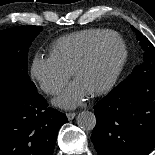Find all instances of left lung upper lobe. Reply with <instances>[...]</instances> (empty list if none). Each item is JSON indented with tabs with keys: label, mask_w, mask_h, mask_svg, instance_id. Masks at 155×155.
Masks as SVG:
<instances>
[{
	"label": "left lung upper lobe",
	"mask_w": 155,
	"mask_h": 155,
	"mask_svg": "<svg viewBox=\"0 0 155 155\" xmlns=\"http://www.w3.org/2000/svg\"><path fill=\"white\" fill-rule=\"evenodd\" d=\"M136 33L137 40L143 49V62L136 66L127 79L143 74L147 71L155 69V48L152 43L145 38L142 33L131 26Z\"/></svg>",
	"instance_id": "left-lung-upper-lobe-1"
}]
</instances>
